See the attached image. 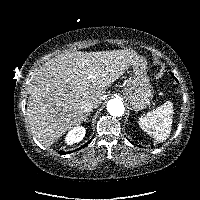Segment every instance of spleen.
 <instances>
[{"label": "spleen", "instance_id": "1", "mask_svg": "<svg viewBox=\"0 0 200 200\" xmlns=\"http://www.w3.org/2000/svg\"><path fill=\"white\" fill-rule=\"evenodd\" d=\"M173 104L170 101L139 117L140 128L158 142L168 139L172 128Z\"/></svg>", "mask_w": 200, "mask_h": 200}]
</instances>
